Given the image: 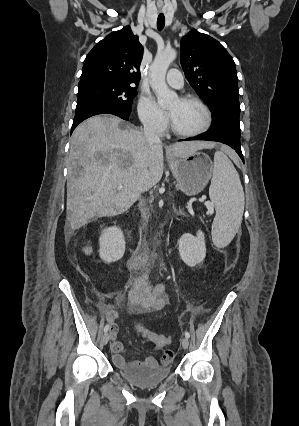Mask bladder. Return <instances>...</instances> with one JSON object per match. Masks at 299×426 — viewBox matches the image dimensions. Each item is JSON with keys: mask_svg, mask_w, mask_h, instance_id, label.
I'll list each match as a JSON object with an SVG mask.
<instances>
[{"mask_svg": "<svg viewBox=\"0 0 299 426\" xmlns=\"http://www.w3.org/2000/svg\"><path fill=\"white\" fill-rule=\"evenodd\" d=\"M119 375L128 383L141 389H149L163 383L170 375L168 366L119 369Z\"/></svg>", "mask_w": 299, "mask_h": 426, "instance_id": "31cf9c89", "label": "bladder"}]
</instances>
